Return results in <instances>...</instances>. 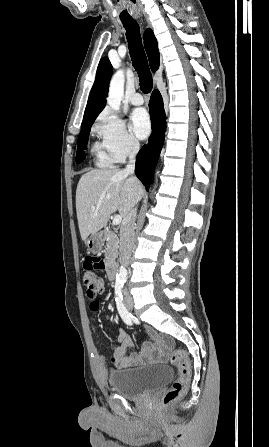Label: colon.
<instances>
[{"label":"colon","instance_id":"5ec220e1","mask_svg":"<svg viewBox=\"0 0 269 447\" xmlns=\"http://www.w3.org/2000/svg\"><path fill=\"white\" fill-rule=\"evenodd\" d=\"M82 270L87 271L83 273L82 279L86 297L89 299L97 297L104 289V282L90 271L103 270V259L99 253H86ZM95 301H98V298H95ZM93 306H96V303H93ZM170 345V342H166V346L170 347ZM167 355L169 363L178 367V376L161 397V403L164 406L174 404L186 392L192 375L191 362L184 350H168ZM112 361L115 359L113 358Z\"/></svg>","mask_w":269,"mask_h":447}]
</instances>
